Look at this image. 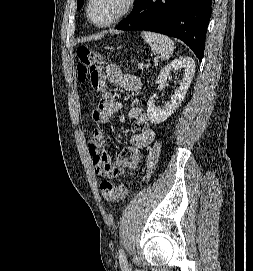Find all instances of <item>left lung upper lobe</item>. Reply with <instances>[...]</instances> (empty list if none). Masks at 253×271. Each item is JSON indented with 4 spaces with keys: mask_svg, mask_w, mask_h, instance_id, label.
Returning a JSON list of instances; mask_svg holds the SVG:
<instances>
[{
    "mask_svg": "<svg viewBox=\"0 0 253 271\" xmlns=\"http://www.w3.org/2000/svg\"><path fill=\"white\" fill-rule=\"evenodd\" d=\"M77 3H78V10L82 8L83 6V0H77Z\"/></svg>",
    "mask_w": 253,
    "mask_h": 271,
    "instance_id": "5c2ea615",
    "label": "left lung upper lobe"
}]
</instances>
